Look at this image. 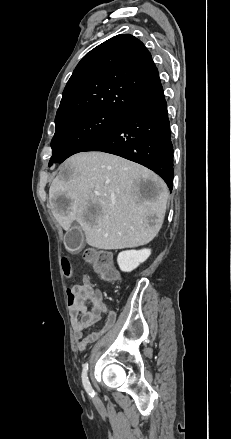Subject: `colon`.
Wrapping results in <instances>:
<instances>
[{"mask_svg": "<svg viewBox=\"0 0 231 439\" xmlns=\"http://www.w3.org/2000/svg\"><path fill=\"white\" fill-rule=\"evenodd\" d=\"M84 259L88 262L94 269V271L106 281H114L117 279L118 274L116 269L112 264L110 255L102 250L89 248L84 252ZM63 270L67 277L72 274V269L69 261L67 259L63 260ZM70 291V290H69ZM68 291V292H69ZM72 307H77V295H72Z\"/></svg>", "mask_w": 231, "mask_h": 439, "instance_id": "obj_1", "label": "colon"}]
</instances>
